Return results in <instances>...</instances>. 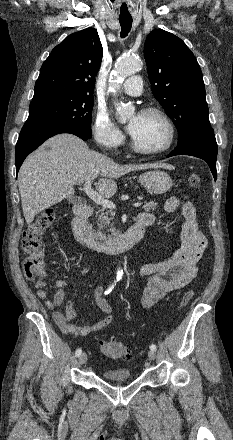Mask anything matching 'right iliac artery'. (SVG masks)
Returning a JSON list of instances; mask_svg holds the SVG:
<instances>
[{
    "instance_id": "82829eb1",
    "label": "right iliac artery",
    "mask_w": 233,
    "mask_h": 440,
    "mask_svg": "<svg viewBox=\"0 0 233 440\" xmlns=\"http://www.w3.org/2000/svg\"><path fill=\"white\" fill-rule=\"evenodd\" d=\"M115 285H116V282L114 281V283H112L108 287V289L105 291V295L109 294L112 291V289L114 288ZM81 353H82V350L81 349H77L76 352H75V356L79 357L81 355Z\"/></svg>"
}]
</instances>
